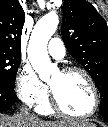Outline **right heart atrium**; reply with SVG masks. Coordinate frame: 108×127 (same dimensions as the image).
Returning a JSON list of instances; mask_svg holds the SVG:
<instances>
[{
  "instance_id": "d8ad5b80",
  "label": "right heart atrium",
  "mask_w": 108,
  "mask_h": 127,
  "mask_svg": "<svg viewBox=\"0 0 108 127\" xmlns=\"http://www.w3.org/2000/svg\"><path fill=\"white\" fill-rule=\"evenodd\" d=\"M15 89L18 97L31 106L38 105L48 95L47 86L28 64L20 65L15 78Z\"/></svg>"
}]
</instances>
